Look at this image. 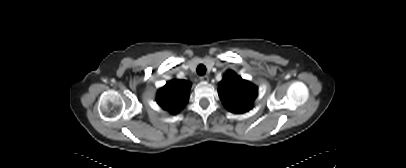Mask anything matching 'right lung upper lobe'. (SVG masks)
Wrapping results in <instances>:
<instances>
[{"instance_id": "1", "label": "right lung upper lobe", "mask_w": 406, "mask_h": 168, "mask_svg": "<svg viewBox=\"0 0 406 168\" xmlns=\"http://www.w3.org/2000/svg\"><path fill=\"white\" fill-rule=\"evenodd\" d=\"M190 87V82L174 79L158 91L157 102L164 110L176 114L187 103Z\"/></svg>"}]
</instances>
